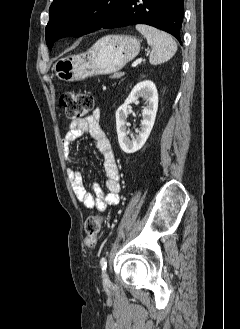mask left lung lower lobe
<instances>
[{"label": "left lung lower lobe", "mask_w": 240, "mask_h": 329, "mask_svg": "<svg viewBox=\"0 0 240 329\" xmlns=\"http://www.w3.org/2000/svg\"><path fill=\"white\" fill-rule=\"evenodd\" d=\"M184 0H124L101 28L147 24L172 34L181 42Z\"/></svg>", "instance_id": "left-lung-lower-lobe-1"}]
</instances>
